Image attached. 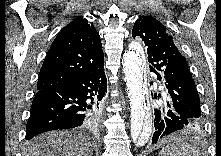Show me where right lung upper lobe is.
<instances>
[{
	"instance_id": "obj_1",
	"label": "right lung upper lobe",
	"mask_w": 221,
	"mask_h": 156,
	"mask_svg": "<svg viewBox=\"0 0 221 156\" xmlns=\"http://www.w3.org/2000/svg\"><path fill=\"white\" fill-rule=\"evenodd\" d=\"M104 65L99 33L78 17L52 43L39 73L37 90L61 87Z\"/></svg>"
}]
</instances>
